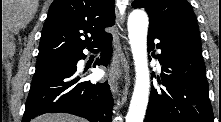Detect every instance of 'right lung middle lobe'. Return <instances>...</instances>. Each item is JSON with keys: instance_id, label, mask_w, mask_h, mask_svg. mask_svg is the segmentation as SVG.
<instances>
[{"instance_id": "right-lung-middle-lobe-1", "label": "right lung middle lobe", "mask_w": 221, "mask_h": 122, "mask_svg": "<svg viewBox=\"0 0 221 122\" xmlns=\"http://www.w3.org/2000/svg\"><path fill=\"white\" fill-rule=\"evenodd\" d=\"M75 58H76V56H70V57H60V58L37 60L35 74H39V73L45 72L49 69L66 65V64L74 61Z\"/></svg>"}]
</instances>
